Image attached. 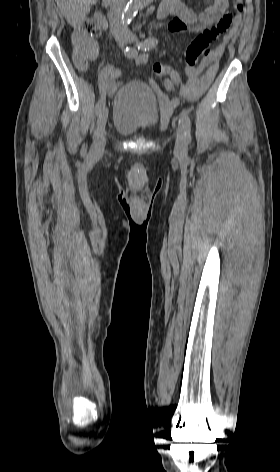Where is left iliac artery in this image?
Returning a JSON list of instances; mask_svg holds the SVG:
<instances>
[{
	"mask_svg": "<svg viewBox=\"0 0 280 472\" xmlns=\"http://www.w3.org/2000/svg\"><path fill=\"white\" fill-rule=\"evenodd\" d=\"M157 42H158L157 39L154 38V37L147 38V39H145L144 41H142L141 43L138 44V49L144 50V51H147V50L149 51L157 45ZM171 79H172V82L176 86L179 85L180 75H179L178 71H176V70L172 71ZM180 122L182 123V126L184 128L185 136H186L187 140H191V121H190V118H189V116L186 112H182L180 114Z\"/></svg>",
	"mask_w": 280,
	"mask_h": 472,
	"instance_id": "44dca946",
	"label": "left iliac artery"
}]
</instances>
